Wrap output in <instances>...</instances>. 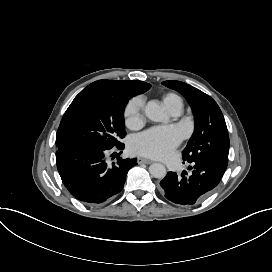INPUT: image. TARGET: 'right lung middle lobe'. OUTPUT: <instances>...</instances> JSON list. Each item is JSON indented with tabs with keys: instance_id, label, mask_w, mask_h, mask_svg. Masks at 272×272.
<instances>
[{
	"instance_id": "right-lung-middle-lobe-1",
	"label": "right lung middle lobe",
	"mask_w": 272,
	"mask_h": 272,
	"mask_svg": "<svg viewBox=\"0 0 272 272\" xmlns=\"http://www.w3.org/2000/svg\"><path fill=\"white\" fill-rule=\"evenodd\" d=\"M124 93L81 91L66 110L56 135L58 150L90 146L119 147L126 135Z\"/></svg>"
}]
</instances>
